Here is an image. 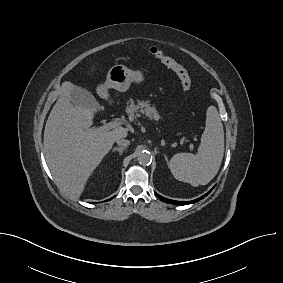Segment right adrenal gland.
Listing matches in <instances>:
<instances>
[{
    "label": "right adrenal gland",
    "mask_w": 283,
    "mask_h": 283,
    "mask_svg": "<svg viewBox=\"0 0 283 283\" xmlns=\"http://www.w3.org/2000/svg\"><path fill=\"white\" fill-rule=\"evenodd\" d=\"M126 149V147H114L112 149V152L118 151L120 155H122L123 151Z\"/></svg>",
    "instance_id": "2a0ac1e0"
}]
</instances>
